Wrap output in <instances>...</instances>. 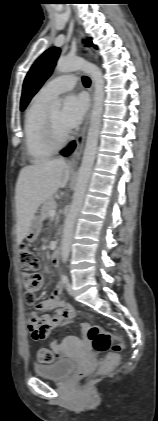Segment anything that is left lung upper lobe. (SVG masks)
<instances>
[{"mask_svg": "<svg viewBox=\"0 0 158 421\" xmlns=\"http://www.w3.org/2000/svg\"><path fill=\"white\" fill-rule=\"evenodd\" d=\"M86 46H92V41H87ZM59 48L52 47L45 51L33 64L27 74L20 103V110L23 111L34 94L40 89L45 80L51 75L58 59Z\"/></svg>", "mask_w": 158, "mask_h": 421, "instance_id": "obj_1", "label": "left lung upper lobe"}]
</instances>
